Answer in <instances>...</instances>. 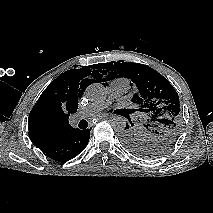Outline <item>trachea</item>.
I'll use <instances>...</instances> for the list:
<instances>
[{"label":"trachea","instance_id":"trachea-1","mask_svg":"<svg viewBox=\"0 0 213 213\" xmlns=\"http://www.w3.org/2000/svg\"><path fill=\"white\" fill-rule=\"evenodd\" d=\"M78 126L80 129H85L88 127V122L86 120H81Z\"/></svg>","mask_w":213,"mask_h":213}]
</instances>
